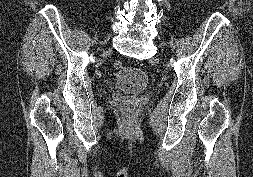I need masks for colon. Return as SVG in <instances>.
<instances>
[{
  "label": "colon",
  "instance_id": "5ec220e1",
  "mask_svg": "<svg viewBox=\"0 0 253 177\" xmlns=\"http://www.w3.org/2000/svg\"><path fill=\"white\" fill-rule=\"evenodd\" d=\"M114 67H115L116 69H121V68L123 67L122 61H121V60H116V61L114 62Z\"/></svg>",
  "mask_w": 253,
  "mask_h": 177
}]
</instances>
